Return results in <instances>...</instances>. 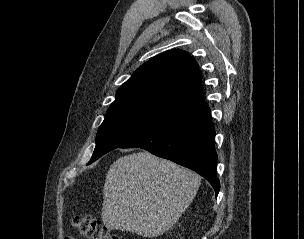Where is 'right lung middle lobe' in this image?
I'll use <instances>...</instances> for the list:
<instances>
[{
	"label": "right lung middle lobe",
	"mask_w": 304,
	"mask_h": 239,
	"mask_svg": "<svg viewBox=\"0 0 304 239\" xmlns=\"http://www.w3.org/2000/svg\"><path fill=\"white\" fill-rule=\"evenodd\" d=\"M168 120L164 116L143 110L107 113L97 132L96 147L89 164Z\"/></svg>",
	"instance_id": "right-lung-middle-lobe-1"
}]
</instances>
